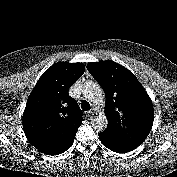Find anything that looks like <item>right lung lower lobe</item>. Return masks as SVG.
Here are the masks:
<instances>
[{"instance_id":"1","label":"right lung lower lobe","mask_w":177,"mask_h":177,"mask_svg":"<svg viewBox=\"0 0 177 177\" xmlns=\"http://www.w3.org/2000/svg\"><path fill=\"white\" fill-rule=\"evenodd\" d=\"M74 141V138L72 141H70L69 143H67L62 149H59L57 151H53V152H50L49 150L46 152V153H49V154H59V153H62V152H65L67 149H69L71 147V144L73 143ZM40 150L42 149H46V148H43L42 146L41 147H38Z\"/></svg>"}]
</instances>
